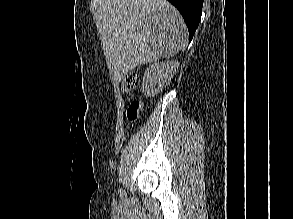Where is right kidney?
I'll return each mask as SVG.
<instances>
[{
  "instance_id": "obj_1",
  "label": "right kidney",
  "mask_w": 293,
  "mask_h": 219,
  "mask_svg": "<svg viewBox=\"0 0 293 219\" xmlns=\"http://www.w3.org/2000/svg\"><path fill=\"white\" fill-rule=\"evenodd\" d=\"M178 67L179 62L173 60L152 64L143 76V94L151 97L160 93L170 83Z\"/></svg>"
}]
</instances>
